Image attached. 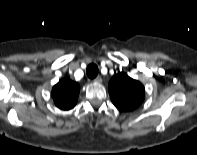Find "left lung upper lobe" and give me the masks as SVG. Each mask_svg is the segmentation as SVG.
I'll list each match as a JSON object with an SVG mask.
<instances>
[{
	"label": "left lung upper lobe",
	"mask_w": 197,
	"mask_h": 155,
	"mask_svg": "<svg viewBox=\"0 0 197 155\" xmlns=\"http://www.w3.org/2000/svg\"><path fill=\"white\" fill-rule=\"evenodd\" d=\"M108 90L115 107L124 112L136 109L145 98L142 83L122 72L112 77Z\"/></svg>",
	"instance_id": "obj_1"
}]
</instances>
